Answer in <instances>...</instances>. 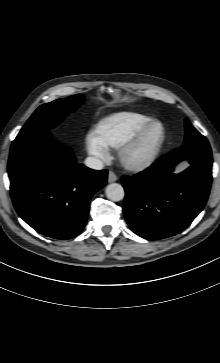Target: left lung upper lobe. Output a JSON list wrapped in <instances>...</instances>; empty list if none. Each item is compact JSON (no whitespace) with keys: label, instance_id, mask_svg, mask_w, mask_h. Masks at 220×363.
<instances>
[{"label":"left lung upper lobe","instance_id":"5c2ea615","mask_svg":"<svg viewBox=\"0 0 220 363\" xmlns=\"http://www.w3.org/2000/svg\"><path fill=\"white\" fill-rule=\"evenodd\" d=\"M185 130L186 136L183 146L188 145H200V146H209L208 141L206 138L201 135L186 119L185 120Z\"/></svg>","mask_w":220,"mask_h":363}]
</instances>
